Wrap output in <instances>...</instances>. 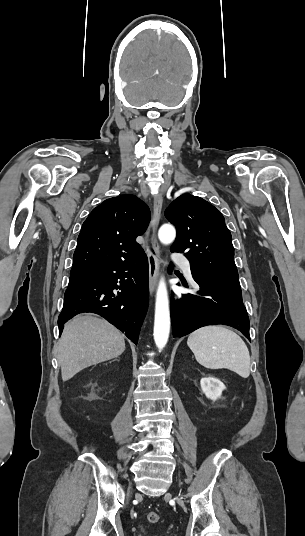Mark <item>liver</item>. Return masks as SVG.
Masks as SVG:
<instances>
[{
  "instance_id": "liver-1",
  "label": "liver",
  "mask_w": 305,
  "mask_h": 536,
  "mask_svg": "<svg viewBox=\"0 0 305 536\" xmlns=\"http://www.w3.org/2000/svg\"><path fill=\"white\" fill-rule=\"evenodd\" d=\"M125 350L123 334L93 314L75 316L65 324L58 342L57 360L63 382L80 370L118 358Z\"/></svg>"
}]
</instances>
